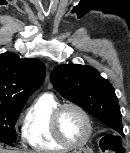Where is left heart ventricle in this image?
<instances>
[{"instance_id":"left-heart-ventricle-1","label":"left heart ventricle","mask_w":130,"mask_h":153,"mask_svg":"<svg viewBox=\"0 0 130 153\" xmlns=\"http://www.w3.org/2000/svg\"><path fill=\"white\" fill-rule=\"evenodd\" d=\"M60 130L68 141L80 143L87 134V124L77 110L68 108L60 116Z\"/></svg>"}]
</instances>
